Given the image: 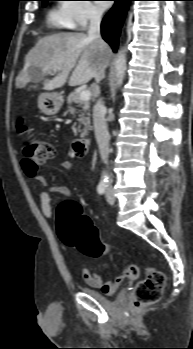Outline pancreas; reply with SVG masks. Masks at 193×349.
Listing matches in <instances>:
<instances>
[{"mask_svg":"<svg viewBox=\"0 0 193 349\" xmlns=\"http://www.w3.org/2000/svg\"><path fill=\"white\" fill-rule=\"evenodd\" d=\"M68 102V112L71 115H75V113H78L79 118L77 119L80 123L78 129L73 128L74 134L81 133L82 136H86L88 134V131L91 130L90 125V103L88 100H82L80 98V93L72 92L67 98ZM73 104H77V107H81V110H76V108L73 107ZM81 124L84 125V128L81 129Z\"/></svg>","mask_w":193,"mask_h":349,"instance_id":"cf45deb5","label":"pancreas"}]
</instances>
